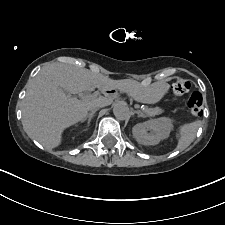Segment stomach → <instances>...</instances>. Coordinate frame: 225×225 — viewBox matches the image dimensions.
Here are the masks:
<instances>
[{
	"label": "stomach",
	"mask_w": 225,
	"mask_h": 225,
	"mask_svg": "<svg viewBox=\"0 0 225 225\" xmlns=\"http://www.w3.org/2000/svg\"><path fill=\"white\" fill-rule=\"evenodd\" d=\"M167 90V85H163L161 88L148 92L145 96L146 103H156L158 102L163 94Z\"/></svg>",
	"instance_id": "0dacf381"
}]
</instances>
